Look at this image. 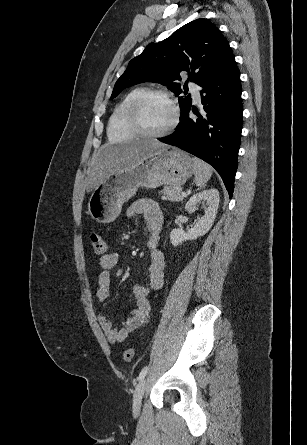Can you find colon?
Masks as SVG:
<instances>
[{"label":"colon","mask_w":307,"mask_h":445,"mask_svg":"<svg viewBox=\"0 0 307 445\" xmlns=\"http://www.w3.org/2000/svg\"><path fill=\"white\" fill-rule=\"evenodd\" d=\"M90 243L94 252L98 255H104L107 252V244L100 233L94 232L90 235ZM134 357V349L127 347L123 353L125 362H131Z\"/></svg>","instance_id":"5ec220e1"}]
</instances>
